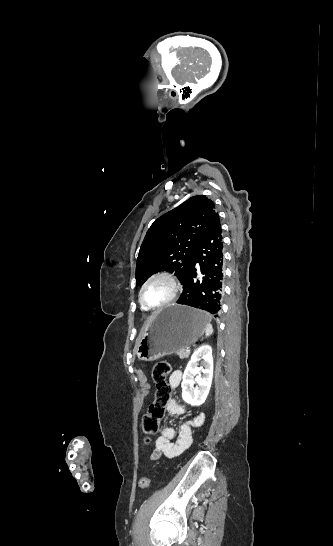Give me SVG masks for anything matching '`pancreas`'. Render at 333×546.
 <instances>
[{
    "instance_id": "1",
    "label": "pancreas",
    "mask_w": 333,
    "mask_h": 546,
    "mask_svg": "<svg viewBox=\"0 0 333 546\" xmlns=\"http://www.w3.org/2000/svg\"><path fill=\"white\" fill-rule=\"evenodd\" d=\"M180 359L188 358L190 353L187 352V349H180L176 352Z\"/></svg>"
}]
</instances>
